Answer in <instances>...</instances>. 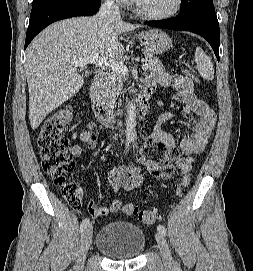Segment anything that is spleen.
<instances>
[{"label":"spleen","instance_id":"3e777b00","mask_svg":"<svg viewBox=\"0 0 253 271\" xmlns=\"http://www.w3.org/2000/svg\"><path fill=\"white\" fill-rule=\"evenodd\" d=\"M195 62L197 64V70L202 78L208 81L214 79V68L211 58L200 47L196 48Z\"/></svg>","mask_w":253,"mask_h":271}]
</instances>
